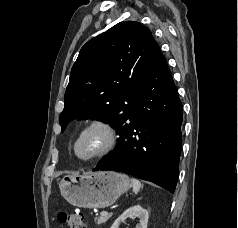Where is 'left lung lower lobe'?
Returning a JSON list of instances; mask_svg holds the SVG:
<instances>
[{"instance_id": "obj_1", "label": "left lung lower lobe", "mask_w": 238, "mask_h": 228, "mask_svg": "<svg viewBox=\"0 0 238 228\" xmlns=\"http://www.w3.org/2000/svg\"><path fill=\"white\" fill-rule=\"evenodd\" d=\"M182 120L178 91L159 51L119 130L116 149L104 156L94 171L123 172L174 193L182 145Z\"/></svg>"}]
</instances>
